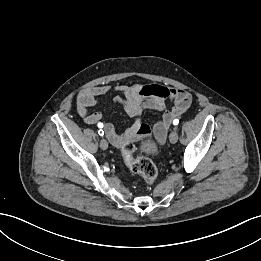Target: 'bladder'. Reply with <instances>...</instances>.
I'll list each match as a JSON object with an SVG mask.
<instances>
[{
  "label": "bladder",
  "instance_id": "1",
  "mask_svg": "<svg viewBox=\"0 0 261 261\" xmlns=\"http://www.w3.org/2000/svg\"><path fill=\"white\" fill-rule=\"evenodd\" d=\"M157 150L156 146L150 142H142L140 145V152L146 155H151Z\"/></svg>",
  "mask_w": 261,
  "mask_h": 261
}]
</instances>
